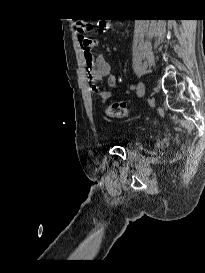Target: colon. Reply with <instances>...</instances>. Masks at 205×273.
<instances>
[{"instance_id":"colon-1","label":"colon","mask_w":205,"mask_h":273,"mask_svg":"<svg viewBox=\"0 0 205 273\" xmlns=\"http://www.w3.org/2000/svg\"><path fill=\"white\" fill-rule=\"evenodd\" d=\"M75 29L79 35H84L91 29V24L82 20L75 21ZM96 92H100L98 86H94ZM129 108L125 102L112 103L106 110V113L111 118H122L127 116Z\"/></svg>"}]
</instances>
